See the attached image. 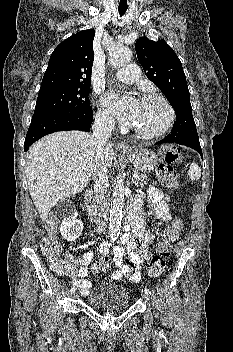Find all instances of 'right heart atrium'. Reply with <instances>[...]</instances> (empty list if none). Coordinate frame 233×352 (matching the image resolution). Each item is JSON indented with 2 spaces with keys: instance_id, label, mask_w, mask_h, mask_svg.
<instances>
[{
  "instance_id": "obj_1",
  "label": "right heart atrium",
  "mask_w": 233,
  "mask_h": 352,
  "mask_svg": "<svg viewBox=\"0 0 233 352\" xmlns=\"http://www.w3.org/2000/svg\"><path fill=\"white\" fill-rule=\"evenodd\" d=\"M96 119L98 123L104 126H111L114 122L111 114L105 109H100L97 112Z\"/></svg>"
}]
</instances>
